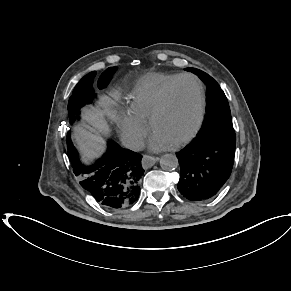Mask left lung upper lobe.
Here are the masks:
<instances>
[{
	"mask_svg": "<svg viewBox=\"0 0 291 291\" xmlns=\"http://www.w3.org/2000/svg\"><path fill=\"white\" fill-rule=\"evenodd\" d=\"M186 70L198 75L208 88L206 116L197 137L235 143L236 137L229 104L219 84L199 69L186 68Z\"/></svg>",
	"mask_w": 291,
	"mask_h": 291,
	"instance_id": "left-lung-upper-lobe-1",
	"label": "left lung upper lobe"
}]
</instances>
